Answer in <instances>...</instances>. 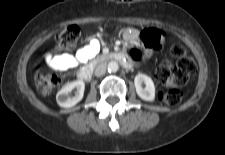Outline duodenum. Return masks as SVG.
<instances>
[{
	"mask_svg": "<svg viewBox=\"0 0 225 155\" xmlns=\"http://www.w3.org/2000/svg\"><path fill=\"white\" fill-rule=\"evenodd\" d=\"M106 58L111 61L119 62L126 68H130L132 66L131 60L125 54L120 53V52L111 53L108 56H106ZM95 64L96 63H92V64L87 65L86 67L82 68L78 73V79L80 81L90 80Z\"/></svg>",
	"mask_w": 225,
	"mask_h": 155,
	"instance_id": "1",
	"label": "duodenum"
}]
</instances>
